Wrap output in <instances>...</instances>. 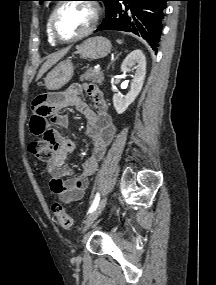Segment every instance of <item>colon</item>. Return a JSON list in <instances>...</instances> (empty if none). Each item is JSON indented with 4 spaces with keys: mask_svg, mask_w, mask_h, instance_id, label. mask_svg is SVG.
<instances>
[{
    "mask_svg": "<svg viewBox=\"0 0 216 285\" xmlns=\"http://www.w3.org/2000/svg\"><path fill=\"white\" fill-rule=\"evenodd\" d=\"M29 149L30 152L42 162L48 163L54 158V147H51V144H44V141H32L29 145ZM52 211L63 229L71 230L73 228V220L61 203H54L52 205Z\"/></svg>",
    "mask_w": 216,
    "mask_h": 285,
    "instance_id": "5ec220e1",
    "label": "colon"
}]
</instances>
